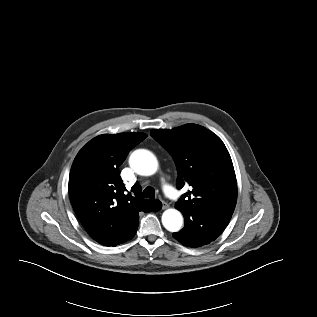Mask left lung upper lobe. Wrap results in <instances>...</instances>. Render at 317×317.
Instances as JSON below:
<instances>
[{
    "label": "left lung upper lobe",
    "instance_id": "5c2ea615",
    "mask_svg": "<svg viewBox=\"0 0 317 317\" xmlns=\"http://www.w3.org/2000/svg\"><path fill=\"white\" fill-rule=\"evenodd\" d=\"M151 135L173 157L178 189L191 186L175 206L182 213L212 209L233 214L237 201L234 167L222 140L208 129L186 124Z\"/></svg>",
    "mask_w": 317,
    "mask_h": 317
}]
</instances>
